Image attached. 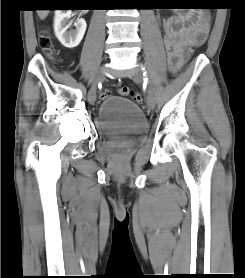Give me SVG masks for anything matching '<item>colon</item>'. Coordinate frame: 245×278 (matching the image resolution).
Segmentation results:
<instances>
[{"label":"colon","mask_w":245,"mask_h":278,"mask_svg":"<svg viewBox=\"0 0 245 278\" xmlns=\"http://www.w3.org/2000/svg\"><path fill=\"white\" fill-rule=\"evenodd\" d=\"M191 7L193 9L207 11L210 8H212V5L209 3V0H205V2L194 4ZM39 42H40V45H41L43 51L45 52V54L49 58H52L54 56L56 50H55L54 42H53V39L51 38V36L47 32L42 31L40 33ZM171 71H174V69H171ZM118 93L121 96H131L132 99L138 104L142 103V101H143V97L140 94L133 93L131 91V89L128 87L118 88ZM110 95H111V93L109 90H105L102 92L103 97H108Z\"/></svg>","instance_id":"colon-1"}]
</instances>
